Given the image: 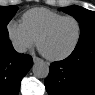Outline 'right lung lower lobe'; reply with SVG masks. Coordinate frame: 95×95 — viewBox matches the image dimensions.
<instances>
[{
	"label": "right lung lower lobe",
	"instance_id": "right-lung-lower-lobe-1",
	"mask_svg": "<svg viewBox=\"0 0 95 95\" xmlns=\"http://www.w3.org/2000/svg\"><path fill=\"white\" fill-rule=\"evenodd\" d=\"M32 64V58L17 53L9 39H0V95H17Z\"/></svg>",
	"mask_w": 95,
	"mask_h": 95
}]
</instances>
